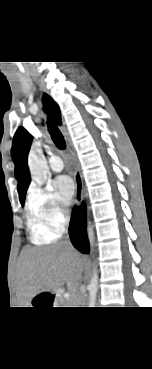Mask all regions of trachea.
<instances>
[{"instance_id":"obj_1","label":"trachea","mask_w":152,"mask_h":369,"mask_svg":"<svg viewBox=\"0 0 152 369\" xmlns=\"http://www.w3.org/2000/svg\"><path fill=\"white\" fill-rule=\"evenodd\" d=\"M48 130L50 132V135L52 137L54 144L59 149H65L66 145H65L64 137L62 133L59 131V129L57 128V126L51 120L48 121Z\"/></svg>"}]
</instances>
